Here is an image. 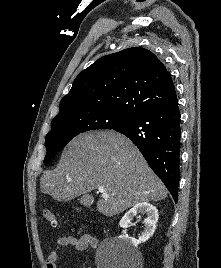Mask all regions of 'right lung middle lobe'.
<instances>
[{
	"label": "right lung middle lobe",
	"instance_id": "right-lung-middle-lobe-1",
	"mask_svg": "<svg viewBox=\"0 0 221 268\" xmlns=\"http://www.w3.org/2000/svg\"><path fill=\"white\" fill-rule=\"evenodd\" d=\"M130 119L127 115L110 110L57 115L52 120V129L46 136L47 153L44 163L49 162L60 149L78 134L95 129H113Z\"/></svg>",
	"mask_w": 221,
	"mask_h": 268
}]
</instances>
